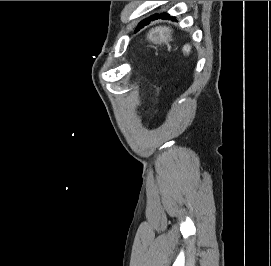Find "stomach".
<instances>
[{"instance_id":"stomach-1","label":"stomach","mask_w":271,"mask_h":266,"mask_svg":"<svg viewBox=\"0 0 271 266\" xmlns=\"http://www.w3.org/2000/svg\"><path fill=\"white\" fill-rule=\"evenodd\" d=\"M147 39L154 44H166L170 40V32L168 29L158 28L152 30L147 35Z\"/></svg>"}]
</instances>
